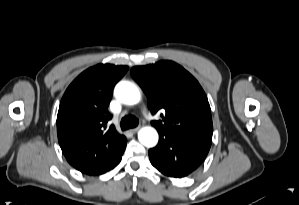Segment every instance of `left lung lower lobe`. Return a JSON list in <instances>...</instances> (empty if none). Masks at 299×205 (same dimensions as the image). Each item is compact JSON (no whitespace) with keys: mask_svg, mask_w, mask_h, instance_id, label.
<instances>
[{"mask_svg":"<svg viewBox=\"0 0 299 205\" xmlns=\"http://www.w3.org/2000/svg\"><path fill=\"white\" fill-rule=\"evenodd\" d=\"M156 147L149 150L151 164L166 176H187L206 158L212 139L185 134H159Z\"/></svg>","mask_w":299,"mask_h":205,"instance_id":"left-lung-lower-lobe-1","label":"left lung lower lobe"}]
</instances>
